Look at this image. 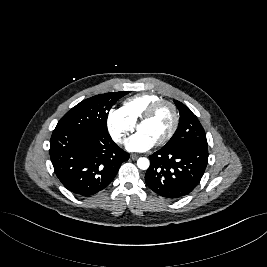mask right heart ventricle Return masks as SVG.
I'll return each instance as SVG.
<instances>
[{
  "mask_svg": "<svg viewBox=\"0 0 267 267\" xmlns=\"http://www.w3.org/2000/svg\"><path fill=\"white\" fill-rule=\"evenodd\" d=\"M161 99L160 96L151 93L138 94L126 99L122 109L133 123H137L146 110Z\"/></svg>",
  "mask_w": 267,
  "mask_h": 267,
  "instance_id": "right-heart-ventricle-1",
  "label": "right heart ventricle"
}]
</instances>
